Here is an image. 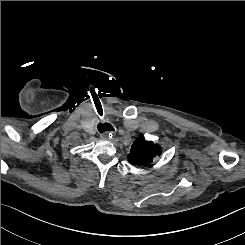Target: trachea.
Returning a JSON list of instances; mask_svg holds the SVG:
<instances>
[{
	"mask_svg": "<svg viewBox=\"0 0 245 245\" xmlns=\"http://www.w3.org/2000/svg\"><path fill=\"white\" fill-rule=\"evenodd\" d=\"M100 133L106 132V131H114L113 126L110 123L106 122H100L97 126Z\"/></svg>",
	"mask_w": 245,
	"mask_h": 245,
	"instance_id": "3493384b",
	"label": "trachea"
}]
</instances>
